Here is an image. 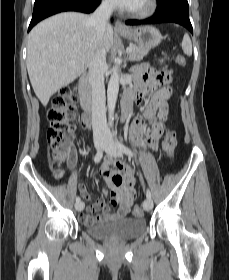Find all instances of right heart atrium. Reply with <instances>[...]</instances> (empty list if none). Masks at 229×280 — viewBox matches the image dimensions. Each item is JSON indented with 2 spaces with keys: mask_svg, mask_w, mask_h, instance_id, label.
<instances>
[{
  "mask_svg": "<svg viewBox=\"0 0 229 280\" xmlns=\"http://www.w3.org/2000/svg\"><path fill=\"white\" fill-rule=\"evenodd\" d=\"M103 4L107 8H113L114 7V0H103Z\"/></svg>",
  "mask_w": 229,
  "mask_h": 280,
  "instance_id": "right-heart-atrium-1",
  "label": "right heart atrium"
}]
</instances>
